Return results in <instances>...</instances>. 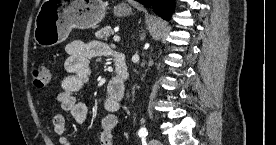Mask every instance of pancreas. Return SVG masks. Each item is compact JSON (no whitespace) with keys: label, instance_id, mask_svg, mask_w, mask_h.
<instances>
[{"label":"pancreas","instance_id":"1","mask_svg":"<svg viewBox=\"0 0 276 145\" xmlns=\"http://www.w3.org/2000/svg\"><path fill=\"white\" fill-rule=\"evenodd\" d=\"M113 33V30L110 26H105L95 33L97 39L107 40V38Z\"/></svg>","mask_w":276,"mask_h":145}]
</instances>
